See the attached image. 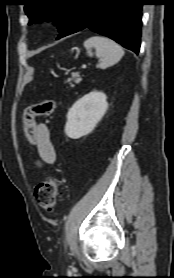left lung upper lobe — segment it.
Returning a JSON list of instances; mask_svg holds the SVG:
<instances>
[{
  "label": "left lung upper lobe",
  "mask_w": 174,
  "mask_h": 278,
  "mask_svg": "<svg viewBox=\"0 0 174 278\" xmlns=\"http://www.w3.org/2000/svg\"><path fill=\"white\" fill-rule=\"evenodd\" d=\"M79 2L80 0H27L24 9L29 17V24L53 19L61 32L71 21Z\"/></svg>",
  "instance_id": "5c2ea615"
}]
</instances>
